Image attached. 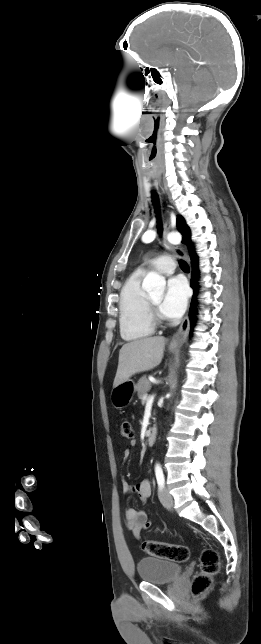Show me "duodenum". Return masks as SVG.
I'll use <instances>...</instances> for the list:
<instances>
[{
  "mask_svg": "<svg viewBox=\"0 0 261 644\" xmlns=\"http://www.w3.org/2000/svg\"><path fill=\"white\" fill-rule=\"evenodd\" d=\"M156 438H157V429L152 428L147 434V438H146L147 444L149 446H152L155 443Z\"/></svg>",
  "mask_w": 261,
  "mask_h": 644,
  "instance_id": "obj_1",
  "label": "duodenum"
}]
</instances>
